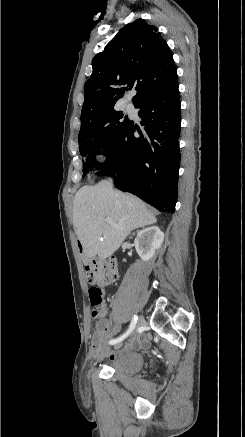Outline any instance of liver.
Segmentation results:
<instances>
[{"mask_svg": "<svg viewBox=\"0 0 245 437\" xmlns=\"http://www.w3.org/2000/svg\"><path fill=\"white\" fill-rule=\"evenodd\" d=\"M106 218L117 227L108 224ZM156 221L140 199L114 190L107 180L83 186L75 195L73 226L87 258L111 256L132 230Z\"/></svg>", "mask_w": 245, "mask_h": 437, "instance_id": "1", "label": "liver"}]
</instances>
